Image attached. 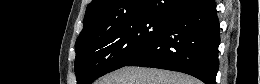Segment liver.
I'll list each match as a JSON object with an SVG mask.
<instances>
[{
  "label": "liver",
  "mask_w": 260,
  "mask_h": 84,
  "mask_svg": "<svg viewBox=\"0 0 260 84\" xmlns=\"http://www.w3.org/2000/svg\"><path fill=\"white\" fill-rule=\"evenodd\" d=\"M96 84H200V82L180 72L143 67H123L105 75Z\"/></svg>",
  "instance_id": "obj_1"
}]
</instances>
